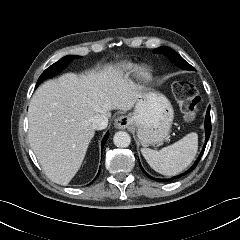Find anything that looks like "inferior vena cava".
<instances>
[{
    "label": "inferior vena cava",
    "mask_w": 240,
    "mask_h": 240,
    "mask_svg": "<svg viewBox=\"0 0 240 240\" xmlns=\"http://www.w3.org/2000/svg\"><path fill=\"white\" fill-rule=\"evenodd\" d=\"M108 117L104 114H98L92 118V128L94 130H102L107 127Z\"/></svg>",
    "instance_id": "obj_1"
}]
</instances>
